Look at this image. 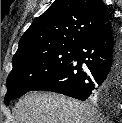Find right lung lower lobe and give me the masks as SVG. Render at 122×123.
Wrapping results in <instances>:
<instances>
[{"label": "right lung lower lobe", "instance_id": "right-lung-lower-lobe-1", "mask_svg": "<svg viewBox=\"0 0 122 123\" xmlns=\"http://www.w3.org/2000/svg\"><path fill=\"white\" fill-rule=\"evenodd\" d=\"M61 93L84 101L99 94H122V41L109 21L77 48L74 59L31 91ZM115 98V99H114Z\"/></svg>", "mask_w": 122, "mask_h": 123}]
</instances>
